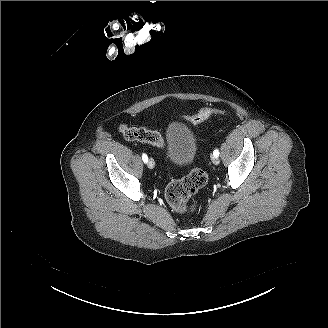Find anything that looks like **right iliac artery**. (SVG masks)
Returning a JSON list of instances; mask_svg holds the SVG:
<instances>
[{
	"mask_svg": "<svg viewBox=\"0 0 328 328\" xmlns=\"http://www.w3.org/2000/svg\"><path fill=\"white\" fill-rule=\"evenodd\" d=\"M142 159H143L144 163H147L148 162V157H147L146 154H143L142 155Z\"/></svg>",
	"mask_w": 328,
	"mask_h": 328,
	"instance_id": "1",
	"label": "right iliac artery"
}]
</instances>
